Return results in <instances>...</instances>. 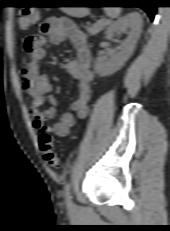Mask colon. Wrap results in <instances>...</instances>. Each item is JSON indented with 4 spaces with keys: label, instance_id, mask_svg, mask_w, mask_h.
Here are the masks:
<instances>
[{
    "label": "colon",
    "instance_id": "colon-1",
    "mask_svg": "<svg viewBox=\"0 0 170 231\" xmlns=\"http://www.w3.org/2000/svg\"><path fill=\"white\" fill-rule=\"evenodd\" d=\"M39 20L38 12L29 7H24L19 11L18 23L22 29H27L36 24ZM38 47V39L36 36L27 37L23 42V49L27 53H33ZM39 147L46 163L52 168L59 167V159L55 150V146L51 136L42 133L39 136Z\"/></svg>",
    "mask_w": 170,
    "mask_h": 231
}]
</instances>
